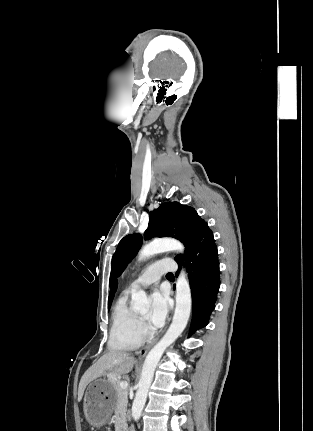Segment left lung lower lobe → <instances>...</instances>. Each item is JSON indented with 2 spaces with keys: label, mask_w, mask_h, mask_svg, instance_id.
I'll list each match as a JSON object with an SVG mask.
<instances>
[{
  "label": "left lung lower lobe",
  "mask_w": 313,
  "mask_h": 431,
  "mask_svg": "<svg viewBox=\"0 0 313 431\" xmlns=\"http://www.w3.org/2000/svg\"><path fill=\"white\" fill-rule=\"evenodd\" d=\"M181 262L178 264L181 265ZM185 262L193 304L191 334L208 324L220 286L218 251L208 226L200 234Z\"/></svg>",
  "instance_id": "obj_1"
}]
</instances>
